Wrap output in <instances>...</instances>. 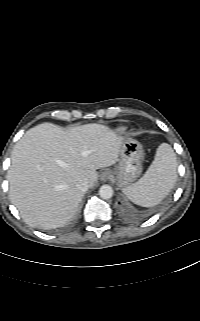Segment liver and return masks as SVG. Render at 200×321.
Returning <instances> with one entry per match:
<instances>
[{
  "mask_svg": "<svg viewBox=\"0 0 200 321\" xmlns=\"http://www.w3.org/2000/svg\"><path fill=\"white\" fill-rule=\"evenodd\" d=\"M123 139L109 127L87 124L64 130L52 123L29 129L15 144L7 173L9 197L31 227H62L74 216L86 179L92 188L97 169L114 165Z\"/></svg>",
  "mask_w": 200,
  "mask_h": 321,
  "instance_id": "obj_1",
  "label": "liver"
}]
</instances>
